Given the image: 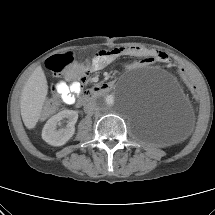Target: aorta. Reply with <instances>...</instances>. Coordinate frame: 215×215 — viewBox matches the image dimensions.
Instances as JSON below:
<instances>
[{"label":"aorta","instance_id":"1","mask_svg":"<svg viewBox=\"0 0 215 215\" xmlns=\"http://www.w3.org/2000/svg\"><path fill=\"white\" fill-rule=\"evenodd\" d=\"M116 98L113 95L102 96L97 100V105L100 109L109 110L116 106Z\"/></svg>","mask_w":215,"mask_h":215}]
</instances>
